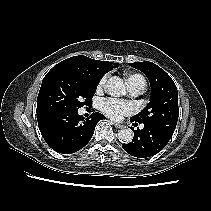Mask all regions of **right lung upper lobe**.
Wrapping results in <instances>:
<instances>
[{
  "label": "right lung upper lobe",
  "mask_w": 211,
  "mask_h": 211,
  "mask_svg": "<svg viewBox=\"0 0 211 211\" xmlns=\"http://www.w3.org/2000/svg\"><path fill=\"white\" fill-rule=\"evenodd\" d=\"M119 64L113 65L108 61L94 60L86 56H73L57 65L52 69L67 70L78 73L90 81L99 82L100 78Z\"/></svg>",
  "instance_id": "obj_1"
}]
</instances>
